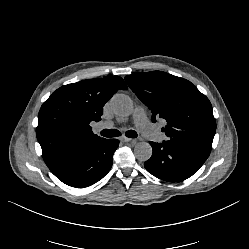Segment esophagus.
Segmentation results:
<instances>
[{
    "label": "esophagus",
    "mask_w": 249,
    "mask_h": 249,
    "mask_svg": "<svg viewBox=\"0 0 249 249\" xmlns=\"http://www.w3.org/2000/svg\"><path fill=\"white\" fill-rule=\"evenodd\" d=\"M120 140H121L123 143H134V142H135V140L130 139V138H126V137H121Z\"/></svg>",
    "instance_id": "esophagus-1"
}]
</instances>
